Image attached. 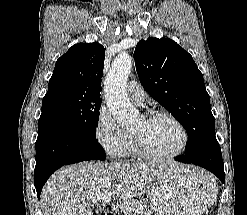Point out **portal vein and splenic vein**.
<instances>
[{
	"label": "portal vein and splenic vein",
	"mask_w": 247,
	"mask_h": 215,
	"mask_svg": "<svg viewBox=\"0 0 247 215\" xmlns=\"http://www.w3.org/2000/svg\"><path fill=\"white\" fill-rule=\"evenodd\" d=\"M110 196H111V194H108V197L104 198L103 204H109L110 203Z\"/></svg>",
	"instance_id": "portal-vein-and-splenic-vein-1"
}]
</instances>
